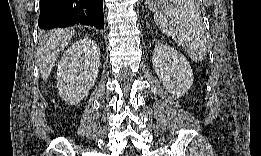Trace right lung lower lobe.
Here are the masks:
<instances>
[{
	"mask_svg": "<svg viewBox=\"0 0 261 156\" xmlns=\"http://www.w3.org/2000/svg\"><path fill=\"white\" fill-rule=\"evenodd\" d=\"M76 24L103 29V0H40L38 25L41 29Z\"/></svg>",
	"mask_w": 261,
	"mask_h": 156,
	"instance_id": "right-lung-lower-lobe-1",
	"label": "right lung lower lobe"
}]
</instances>
